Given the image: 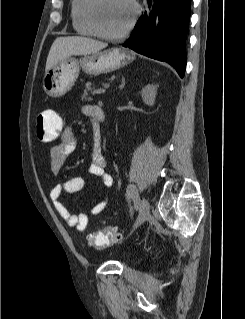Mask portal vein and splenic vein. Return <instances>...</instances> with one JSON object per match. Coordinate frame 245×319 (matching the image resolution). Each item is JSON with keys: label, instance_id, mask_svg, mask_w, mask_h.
Here are the masks:
<instances>
[{"label": "portal vein and splenic vein", "instance_id": "obj_1", "mask_svg": "<svg viewBox=\"0 0 245 319\" xmlns=\"http://www.w3.org/2000/svg\"><path fill=\"white\" fill-rule=\"evenodd\" d=\"M107 92V89L101 88L94 91L93 94H105Z\"/></svg>", "mask_w": 245, "mask_h": 319}]
</instances>
